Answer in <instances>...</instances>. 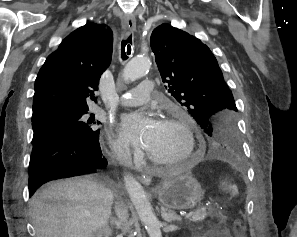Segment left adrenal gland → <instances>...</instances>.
<instances>
[{
  "instance_id": "left-adrenal-gland-1",
  "label": "left adrenal gland",
  "mask_w": 297,
  "mask_h": 237,
  "mask_svg": "<svg viewBox=\"0 0 297 237\" xmlns=\"http://www.w3.org/2000/svg\"><path fill=\"white\" fill-rule=\"evenodd\" d=\"M161 216L166 222H172V221H180L181 217L178 216L174 211L167 210L166 208H161Z\"/></svg>"
}]
</instances>
